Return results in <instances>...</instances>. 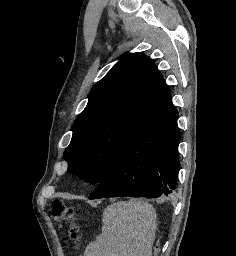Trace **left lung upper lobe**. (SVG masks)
Instances as JSON below:
<instances>
[{"mask_svg": "<svg viewBox=\"0 0 236 256\" xmlns=\"http://www.w3.org/2000/svg\"><path fill=\"white\" fill-rule=\"evenodd\" d=\"M64 151L68 172L102 183L136 128L171 99L154 62L142 53L124 54L89 93Z\"/></svg>", "mask_w": 236, "mask_h": 256, "instance_id": "1", "label": "left lung upper lobe"}]
</instances>
